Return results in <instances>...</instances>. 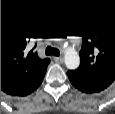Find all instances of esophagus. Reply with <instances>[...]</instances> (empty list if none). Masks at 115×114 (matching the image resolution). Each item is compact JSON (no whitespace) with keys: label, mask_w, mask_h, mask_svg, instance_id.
<instances>
[{"label":"esophagus","mask_w":115,"mask_h":114,"mask_svg":"<svg viewBox=\"0 0 115 114\" xmlns=\"http://www.w3.org/2000/svg\"><path fill=\"white\" fill-rule=\"evenodd\" d=\"M54 61L57 63H63V57L62 56L54 57Z\"/></svg>","instance_id":"34e87169"}]
</instances>
